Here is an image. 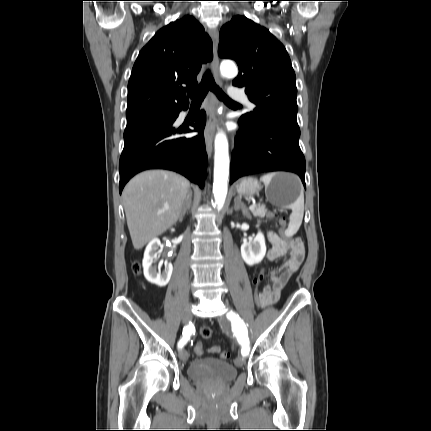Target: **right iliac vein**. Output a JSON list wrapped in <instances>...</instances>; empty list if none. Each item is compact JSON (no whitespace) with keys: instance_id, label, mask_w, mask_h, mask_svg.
<instances>
[{"instance_id":"1","label":"right iliac vein","mask_w":431,"mask_h":431,"mask_svg":"<svg viewBox=\"0 0 431 431\" xmlns=\"http://www.w3.org/2000/svg\"><path fill=\"white\" fill-rule=\"evenodd\" d=\"M191 316H192L191 305H188L185 308V310L183 312V315H182V322H183V324H188V322L191 319ZM179 357H180V359L183 362H186L188 360V358H189V354H188V352L185 349H181L180 352H179Z\"/></svg>"}]
</instances>
